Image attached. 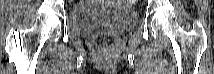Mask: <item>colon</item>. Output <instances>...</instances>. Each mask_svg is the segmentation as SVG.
<instances>
[{"label": "colon", "instance_id": "1", "mask_svg": "<svg viewBox=\"0 0 214 74\" xmlns=\"http://www.w3.org/2000/svg\"><path fill=\"white\" fill-rule=\"evenodd\" d=\"M136 1L135 0H127L125 1L127 6H132ZM112 37L109 35H103L98 38L99 44L110 45L112 43Z\"/></svg>", "mask_w": 214, "mask_h": 74}]
</instances>
